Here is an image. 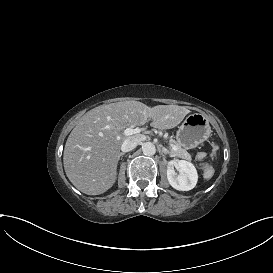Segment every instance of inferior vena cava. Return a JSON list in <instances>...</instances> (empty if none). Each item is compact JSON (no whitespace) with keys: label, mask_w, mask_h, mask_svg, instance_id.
Here are the masks:
<instances>
[{"label":"inferior vena cava","mask_w":273,"mask_h":273,"mask_svg":"<svg viewBox=\"0 0 273 273\" xmlns=\"http://www.w3.org/2000/svg\"><path fill=\"white\" fill-rule=\"evenodd\" d=\"M142 141L140 136H134L131 138L126 139L122 145H121V151L122 152H128L132 149H134L137 144H139Z\"/></svg>","instance_id":"602c4592"}]
</instances>
